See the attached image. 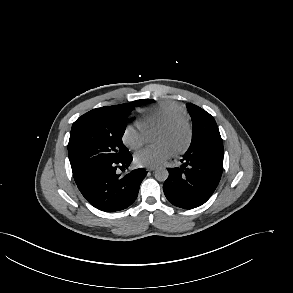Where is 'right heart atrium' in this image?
Returning <instances> with one entry per match:
<instances>
[{"label": "right heart atrium", "mask_w": 293, "mask_h": 293, "mask_svg": "<svg viewBox=\"0 0 293 293\" xmlns=\"http://www.w3.org/2000/svg\"><path fill=\"white\" fill-rule=\"evenodd\" d=\"M121 140L129 150H137L144 143L143 130L139 126L127 125L122 132Z\"/></svg>", "instance_id": "1"}]
</instances>
